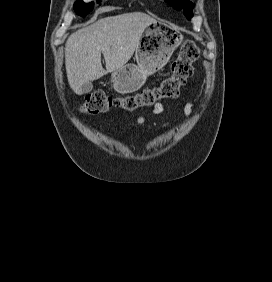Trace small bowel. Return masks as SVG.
<instances>
[{
    "instance_id": "1",
    "label": "small bowel",
    "mask_w": 272,
    "mask_h": 282,
    "mask_svg": "<svg viewBox=\"0 0 272 282\" xmlns=\"http://www.w3.org/2000/svg\"><path fill=\"white\" fill-rule=\"evenodd\" d=\"M162 110H163V107H162L160 104H158V105H156V106L152 109L151 112H152L153 114L157 115V114H160V113L162 112ZM192 110H193V104H191V103H188V104L185 106V108H184V112H185V114L188 115V116L192 114ZM144 122H145V117H144V116H140V117H138L135 121H133V122L131 123V125H133V126L141 125V124H143ZM168 126H170V123H167L164 128H167Z\"/></svg>"
}]
</instances>
